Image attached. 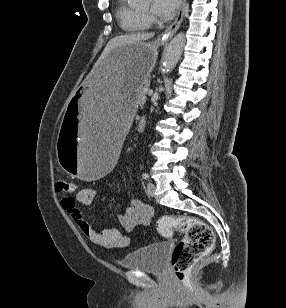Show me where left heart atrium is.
<instances>
[{
	"instance_id": "39dd6f15",
	"label": "left heart atrium",
	"mask_w": 286,
	"mask_h": 308,
	"mask_svg": "<svg viewBox=\"0 0 286 308\" xmlns=\"http://www.w3.org/2000/svg\"><path fill=\"white\" fill-rule=\"evenodd\" d=\"M179 0H153L151 11L161 19L172 17L176 11Z\"/></svg>"
}]
</instances>
